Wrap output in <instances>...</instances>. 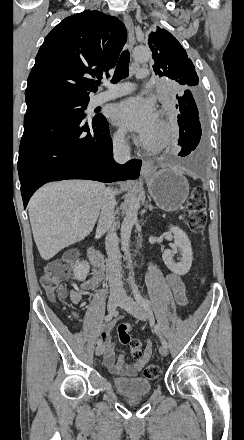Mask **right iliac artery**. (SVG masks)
Masks as SVG:
<instances>
[{
    "mask_svg": "<svg viewBox=\"0 0 244 440\" xmlns=\"http://www.w3.org/2000/svg\"><path fill=\"white\" fill-rule=\"evenodd\" d=\"M114 313H109L105 316V321L110 322L113 319ZM103 343L102 339H98L97 344L101 345Z\"/></svg>",
    "mask_w": 244,
    "mask_h": 440,
    "instance_id": "1",
    "label": "right iliac artery"
}]
</instances>
